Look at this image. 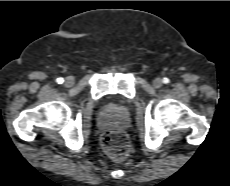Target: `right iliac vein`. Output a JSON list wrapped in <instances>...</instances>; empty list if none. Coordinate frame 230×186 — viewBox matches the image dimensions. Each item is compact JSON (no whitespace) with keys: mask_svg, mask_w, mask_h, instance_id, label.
<instances>
[{"mask_svg":"<svg viewBox=\"0 0 230 186\" xmlns=\"http://www.w3.org/2000/svg\"><path fill=\"white\" fill-rule=\"evenodd\" d=\"M74 82H75L74 78L69 76L65 79L64 83L67 87H71L74 84Z\"/></svg>","mask_w":230,"mask_h":186,"instance_id":"63e3f726","label":"right iliac vein"}]
</instances>
